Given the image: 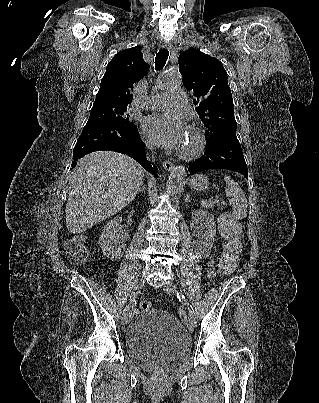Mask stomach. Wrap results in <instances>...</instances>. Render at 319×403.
I'll list each match as a JSON object with an SVG mask.
<instances>
[{
  "mask_svg": "<svg viewBox=\"0 0 319 403\" xmlns=\"http://www.w3.org/2000/svg\"><path fill=\"white\" fill-rule=\"evenodd\" d=\"M189 185L194 190L203 191L208 188L209 180L205 175L197 174L190 179Z\"/></svg>",
  "mask_w": 319,
  "mask_h": 403,
  "instance_id": "0dacf381",
  "label": "stomach"
}]
</instances>
